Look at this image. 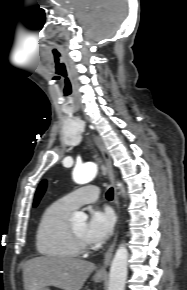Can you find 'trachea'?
Segmentation results:
<instances>
[{"label":"trachea","mask_w":187,"mask_h":290,"mask_svg":"<svg viewBox=\"0 0 187 290\" xmlns=\"http://www.w3.org/2000/svg\"><path fill=\"white\" fill-rule=\"evenodd\" d=\"M113 194H114V190H113V188H110V189L107 191V193H106V198H107L108 200H112V199H113Z\"/></svg>","instance_id":"obj_1"}]
</instances>
